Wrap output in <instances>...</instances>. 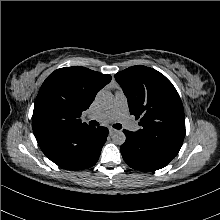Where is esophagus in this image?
<instances>
[{
	"mask_svg": "<svg viewBox=\"0 0 220 220\" xmlns=\"http://www.w3.org/2000/svg\"><path fill=\"white\" fill-rule=\"evenodd\" d=\"M115 132H117L116 129L109 128V134H110V135L114 134Z\"/></svg>",
	"mask_w": 220,
	"mask_h": 220,
	"instance_id": "1",
	"label": "esophagus"
}]
</instances>
